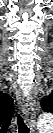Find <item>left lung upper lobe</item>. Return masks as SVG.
<instances>
[{
  "mask_svg": "<svg viewBox=\"0 0 53 133\" xmlns=\"http://www.w3.org/2000/svg\"><path fill=\"white\" fill-rule=\"evenodd\" d=\"M41 107L45 112H53V100L51 97H48L46 99H42L41 101Z\"/></svg>",
  "mask_w": 53,
  "mask_h": 133,
  "instance_id": "left-lung-upper-lobe-1",
  "label": "left lung upper lobe"
}]
</instances>
